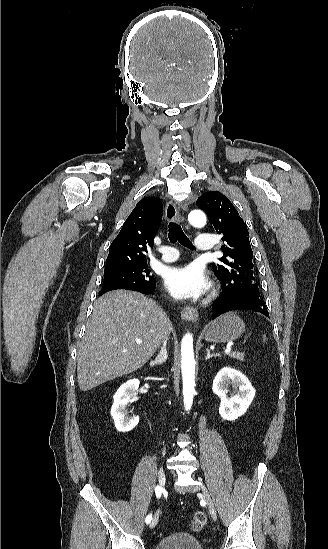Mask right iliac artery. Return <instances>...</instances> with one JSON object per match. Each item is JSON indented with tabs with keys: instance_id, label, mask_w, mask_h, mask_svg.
Segmentation results:
<instances>
[{
	"instance_id": "82829eb1",
	"label": "right iliac artery",
	"mask_w": 328,
	"mask_h": 549,
	"mask_svg": "<svg viewBox=\"0 0 328 549\" xmlns=\"http://www.w3.org/2000/svg\"><path fill=\"white\" fill-rule=\"evenodd\" d=\"M161 493H162V488H161L160 486L157 485L156 488H155V494H156L157 498H160V497H161ZM151 520H152V514H149V515L146 517L145 522H146L147 524H149V523L151 522Z\"/></svg>"
}]
</instances>
